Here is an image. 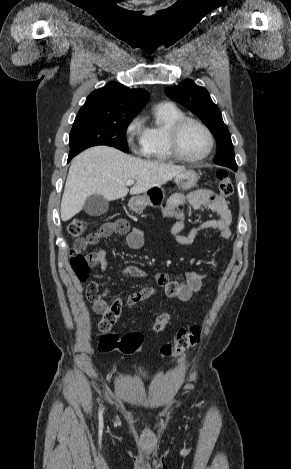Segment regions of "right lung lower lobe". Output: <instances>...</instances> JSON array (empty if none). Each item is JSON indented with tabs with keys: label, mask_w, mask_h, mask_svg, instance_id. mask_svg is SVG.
I'll list each match as a JSON object with an SVG mask.
<instances>
[{
	"label": "right lung lower lobe",
	"mask_w": 291,
	"mask_h": 469,
	"mask_svg": "<svg viewBox=\"0 0 291 469\" xmlns=\"http://www.w3.org/2000/svg\"><path fill=\"white\" fill-rule=\"evenodd\" d=\"M74 156H69L68 157V162H70V160L73 158Z\"/></svg>",
	"instance_id": "obj_1"
}]
</instances>
